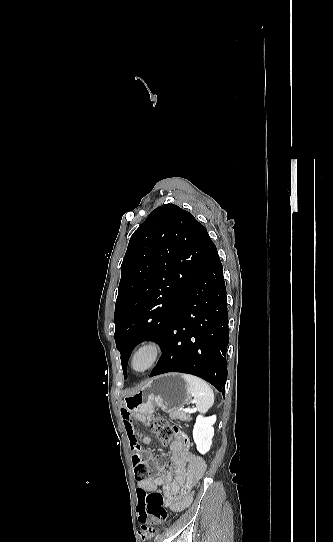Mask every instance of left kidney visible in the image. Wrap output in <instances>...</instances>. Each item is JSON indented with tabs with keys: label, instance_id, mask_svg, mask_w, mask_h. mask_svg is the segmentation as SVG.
<instances>
[{
	"label": "left kidney",
	"instance_id": "5707ae66",
	"mask_svg": "<svg viewBox=\"0 0 333 542\" xmlns=\"http://www.w3.org/2000/svg\"><path fill=\"white\" fill-rule=\"evenodd\" d=\"M216 416H197L196 424H194L193 440L200 454H207L212 446V438L214 436V424Z\"/></svg>",
	"mask_w": 333,
	"mask_h": 542
}]
</instances>
